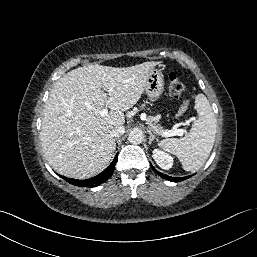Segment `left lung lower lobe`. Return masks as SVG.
Wrapping results in <instances>:
<instances>
[{"label":"left lung lower lobe","instance_id":"left-lung-lower-lobe-1","mask_svg":"<svg viewBox=\"0 0 257 257\" xmlns=\"http://www.w3.org/2000/svg\"><path fill=\"white\" fill-rule=\"evenodd\" d=\"M153 167V166H152ZM153 169H154V167H153ZM154 171H156L155 169H154ZM156 173L158 174V175H160L161 177H163L164 179H167V180H169V181H173V182H180V181H182V180H185V179H188L189 177H191V176H188V177H182V178H176V177H171V176H167V175H165V174H162V173H160V172H158V171H156Z\"/></svg>","mask_w":257,"mask_h":257}]
</instances>
